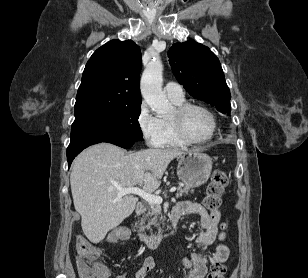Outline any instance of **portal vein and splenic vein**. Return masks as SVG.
Returning a JSON list of instances; mask_svg holds the SVG:
<instances>
[{
	"label": "portal vein and splenic vein",
	"mask_w": 308,
	"mask_h": 278,
	"mask_svg": "<svg viewBox=\"0 0 308 278\" xmlns=\"http://www.w3.org/2000/svg\"><path fill=\"white\" fill-rule=\"evenodd\" d=\"M118 190V194L117 196L120 198L124 195H128V194H136L139 195L140 197H142L144 200H146L148 203L151 204H161L163 199L161 196L159 195H154L152 193H149L145 190H142L138 187H117ZM176 191V187H172L169 192L173 193Z\"/></svg>",
	"instance_id": "1"
}]
</instances>
